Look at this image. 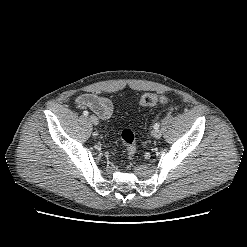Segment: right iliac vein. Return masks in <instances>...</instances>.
Instances as JSON below:
<instances>
[{"mask_svg":"<svg viewBox=\"0 0 247 247\" xmlns=\"http://www.w3.org/2000/svg\"><path fill=\"white\" fill-rule=\"evenodd\" d=\"M88 119L94 125H97L99 123V120H98V118L95 115H90L88 117Z\"/></svg>","mask_w":247,"mask_h":247,"instance_id":"obj_1","label":"right iliac vein"}]
</instances>
